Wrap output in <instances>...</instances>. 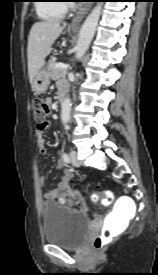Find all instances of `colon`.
<instances>
[{
    "mask_svg": "<svg viewBox=\"0 0 158 275\" xmlns=\"http://www.w3.org/2000/svg\"><path fill=\"white\" fill-rule=\"evenodd\" d=\"M32 107L34 117L37 122L38 130H45L48 128V114H49V103L47 100L42 98H34L32 100ZM103 203L109 205L113 202V193L111 191H104L102 193ZM112 235L108 230L103 231L94 239V247L96 249L102 248L110 239Z\"/></svg>",
    "mask_w": 158,
    "mask_h": 275,
    "instance_id": "1",
    "label": "colon"
}]
</instances>
